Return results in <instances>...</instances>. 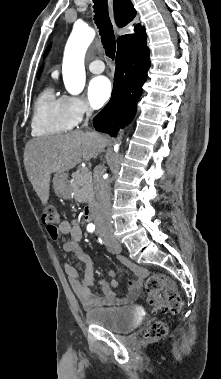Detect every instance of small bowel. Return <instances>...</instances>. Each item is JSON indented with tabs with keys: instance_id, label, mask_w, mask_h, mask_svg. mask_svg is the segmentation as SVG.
Wrapping results in <instances>:
<instances>
[{
	"instance_id": "obj_1",
	"label": "small bowel",
	"mask_w": 221,
	"mask_h": 379,
	"mask_svg": "<svg viewBox=\"0 0 221 379\" xmlns=\"http://www.w3.org/2000/svg\"><path fill=\"white\" fill-rule=\"evenodd\" d=\"M48 233L53 240H57L60 235L69 234L71 239L64 243V251L73 254L76 259L85 264V270L80 274L75 266L69 262L64 263V270L69 282L81 300L85 310H90L95 307L126 305L134 302L138 298L143 281L148 275L146 269L125 258H121V263L133 272L136 279L129 281L127 294L118 296L111 290L106 280L98 278L92 258L81 248L82 229L78 220H63L59 223L54 233L49 230ZM110 274L113 275L112 272H110ZM97 284L100 285L103 296H99L92 291V288ZM111 285L117 286V283L113 281Z\"/></svg>"
}]
</instances>
